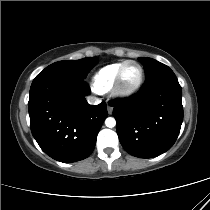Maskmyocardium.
I'll list each match as a JSON object with an SVG mask.
<instances>
[{
	"label": "myocardium",
	"mask_w": 210,
	"mask_h": 210,
	"mask_svg": "<svg viewBox=\"0 0 210 210\" xmlns=\"http://www.w3.org/2000/svg\"><path fill=\"white\" fill-rule=\"evenodd\" d=\"M131 63L136 64L139 67V71H140L139 78L133 85L125 86L123 84V72L126 66ZM143 80H144L143 66L135 60H127L121 65V67L119 68L117 72L115 82L113 85V91L119 97H129L138 91V89L141 87L143 83Z\"/></svg>",
	"instance_id": "f54148a6"
}]
</instances>
